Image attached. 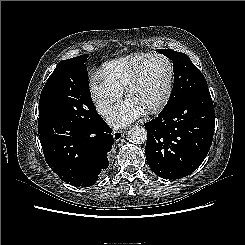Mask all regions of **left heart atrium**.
Returning <instances> with one entry per match:
<instances>
[{"mask_svg": "<svg viewBox=\"0 0 245 245\" xmlns=\"http://www.w3.org/2000/svg\"><path fill=\"white\" fill-rule=\"evenodd\" d=\"M143 112L144 109L139 104L127 98L124 102L110 110L107 118L112 125L121 127L139 118Z\"/></svg>", "mask_w": 245, "mask_h": 245, "instance_id": "1", "label": "left heart atrium"}]
</instances>
